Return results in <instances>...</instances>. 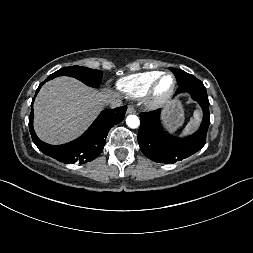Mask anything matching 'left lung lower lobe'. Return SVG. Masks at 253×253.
<instances>
[{
  "label": "left lung lower lobe",
  "mask_w": 253,
  "mask_h": 253,
  "mask_svg": "<svg viewBox=\"0 0 253 253\" xmlns=\"http://www.w3.org/2000/svg\"><path fill=\"white\" fill-rule=\"evenodd\" d=\"M188 92L203 110V120L197 132L186 138H176L163 131L160 124V110L140 114L138 143L143 154L155 162L165 164L181 161L197 151L206 142L210 124L209 100L203 83L194 78L190 83L179 85L176 94Z\"/></svg>",
  "instance_id": "obj_1"
}]
</instances>
